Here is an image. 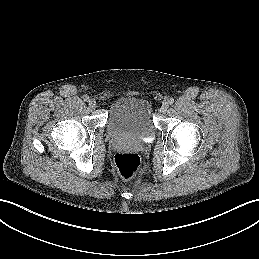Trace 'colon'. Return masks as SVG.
Segmentation results:
<instances>
[{"instance_id": "colon-1", "label": "colon", "mask_w": 259, "mask_h": 259, "mask_svg": "<svg viewBox=\"0 0 259 259\" xmlns=\"http://www.w3.org/2000/svg\"><path fill=\"white\" fill-rule=\"evenodd\" d=\"M114 165L118 174L123 179L134 177L141 166L140 157L132 152L117 153L114 157Z\"/></svg>"}]
</instances>
